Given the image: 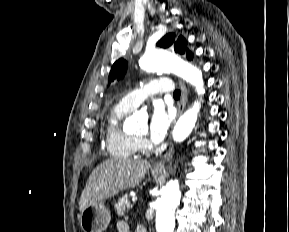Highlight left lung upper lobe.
Here are the masks:
<instances>
[{
  "label": "left lung upper lobe",
  "instance_id": "1",
  "mask_svg": "<svg viewBox=\"0 0 289 232\" xmlns=\"http://www.w3.org/2000/svg\"><path fill=\"white\" fill-rule=\"evenodd\" d=\"M158 46L162 48H168L174 46L175 52L179 54H186L187 58L191 60L193 58L192 53L187 49V41L182 37L176 38L175 34L169 33L165 35L158 43ZM127 71V62L124 59L117 60L110 71L108 80L112 82L114 79H122Z\"/></svg>",
  "mask_w": 289,
  "mask_h": 232
}]
</instances>
